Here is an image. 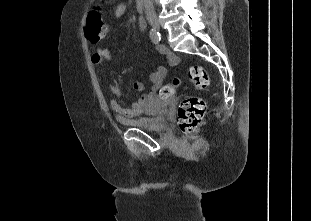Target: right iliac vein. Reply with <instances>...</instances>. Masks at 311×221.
Listing matches in <instances>:
<instances>
[{"instance_id": "right-iliac-vein-1", "label": "right iliac vein", "mask_w": 311, "mask_h": 221, "mask_svg": "<svg viewBox=\"0 0 311 221\" xmlns=\"http://www.w3.org/2000/svg\"><path fill=\"white\" fill-rule=\"evenodd\" d=\"M151 26H152L155 30H157V31H159L160 28H161L160 23H159V21H157V20H152V21H151Z\"/></svg>"}]
</instances>
